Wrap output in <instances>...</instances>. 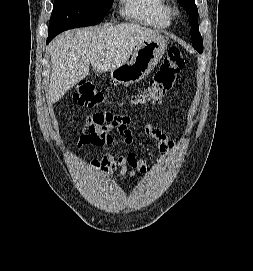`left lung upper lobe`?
I'll list each match as a JSON object with an SVG mask.
<instances>
[{"instance_id":"1","label":"left lung upper lobe","mask_w":253,"mask_h":271,"mask_svg":"<svg viewBox=\"0 0 253 271\" xmlns=\"http://www.w3.org/2000/svg\"><path fill=\"white\" fill-rule=\"evenodd\" d=\"M180 5L186 10L189 14V24L191 25V37H192V46L199 53L203 52V41L199 33L198 27V10L195 5L194 0H179Z\"/></svg>"}]
</instances>
